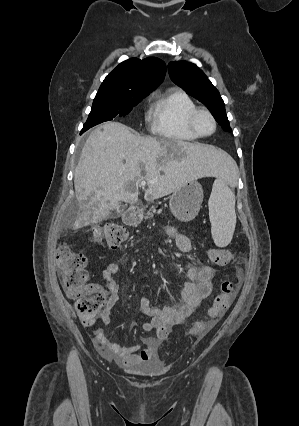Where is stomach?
<instances>
[{"label": "stomach", "mask_w": 299, "mask_h": 426, "mask_svg": "<svg viewBox=\"0 0 299 426\" xmlns=\"http://www.w3.org/2000/svg\"><path fill=\"white\" fill-rule=\"evenodd\" d=\"M202 186L196 181H190L173 191L169 207L172 214L180 221L193 220L203 201Z\"/></svg>", "instance_id": "0dacf381"}]
</instances>
